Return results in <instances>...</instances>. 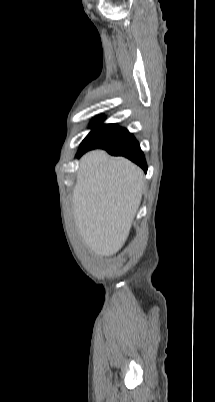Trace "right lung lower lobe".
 I'll return each mask as SVG.
<instances>
[{
  "label": "right lung lower lobe",
  "instance_id": "obj_1",
  "mask_svg": "<svg viewBox=\"0 0 215 402\" xmlns=\"http://www.w3.org/2000/svg\"><path fill=\"white\" fill-rule=\"evenodd\" d=\"M94 148L105 149L111 155L124 156L139 165L145 172L147 171V164L139 143L129 132L119 141L110 145H80L77 157Z\"/></svg>",
  "mask_w": 215,
  "mask_h": 402
}]
</instances>
